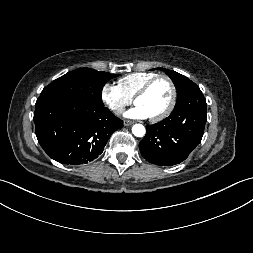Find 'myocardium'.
Segmentation results:
<instances>
[{"label": "myocardium", "instance_id": "myocardium-1", "mask_svg": "<svg viewBox=\"0 0 253 253\" xmlns=\"http://www.w3.org/2000/svg\"><path fill=\"white\" fill-rule=\"evenodd\" d=\"M160 79H165L169 86H170V89H171V99H170V102L167 106V108L161 112L159 115L157 116H154V117H149V120L151 122H159V121H162L164 120L165 118H167L171 113L172 111L174 110L175 108V105H176V101H177V89H176V86L173 82V80L166 74H160V75H156L155 77H153L152 79H150L149 81H147L139 90L138 92L135 94L134 98H133V101L134 103H136V100L142 96H144L148 90L151 88V86L158 80Z\"/></svg>", "mask_w": 253, "mask_h": 253}]
</instances>
